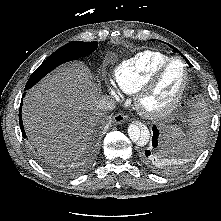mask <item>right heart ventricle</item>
Wrapping results in <instances>:
<instances>
[{
  "mask_svg": "<svg viewBox=\"0 0 221 221\" xmlns=\"http://www.w3.org/2000/svg\"><path fill=\"white\" fill-rule=\"evenodd\" d=\"M169 58L159 51L140 52L116 66L113 72L114 79L121 90L134 94Z\"/></svg>",
  "mask_w": 221,
  "mask_h": 221,
  "instance_id": "obj_1",
  "label": "right heart ventricle"
}]
</instances>
